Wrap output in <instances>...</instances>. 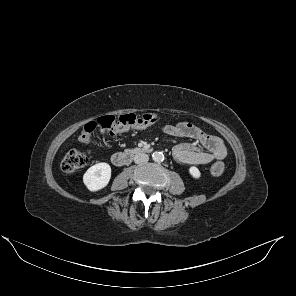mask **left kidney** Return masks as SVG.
Returning <instances> with one entry per match:
<instances>
[{
	"mask_svg": "<svg viewBox=\"0 0 296 296\" xmlns=\"http://www.w3.org/2000/svg\"><path fill=\"white\" fill-rule=\"evenodd\" d=\"M189 173L195 179H199L201 177V173L197 167H194V166L190 167Z\"/></svg>",
	"mask_w": 296,
	"mask_h": 296,
	"instance_id": "5707ae66",
	"label": "left kidney"
}]
</instances>
